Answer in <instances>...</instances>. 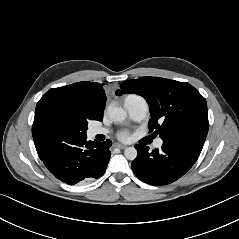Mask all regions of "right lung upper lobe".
<instances>
[{"label": "right lung upper lobe", "instance_id": "cb5924a9", "mask_svg": "<svg viewBox=\"0 0 239 239\" xmlns=\"http://www.w3.org/2000/svg\"><path fill=\"white\" fill-rule=\"evenodd\" d=\"M47 100L64 101L84 111L88 120L102 121L106 95L103 84L84 81L50 89L40 99Z\"/></svg>", "mask_w": 239, "mask_h": 239}]
</instances>
